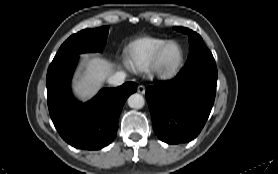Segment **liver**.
<instances>
[{
  "label": "liver",
  "mask_w": 278,
  "mask_h": 174,
  "mask_svg": "<svg viewBox=\"0 0 278 174\" xmlns=\"http://www.w3.org/2000/svg\"><path fill=\"white\" fill-rule=\"evenodd\" d=\"M84 70L73 84V92L82 99L93 97L102 87L104 80L111 75L113 65L100 57H85Z\"/></svg>",
  "instance_id": "6515ba94"
}]
</instances>
